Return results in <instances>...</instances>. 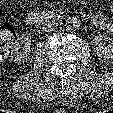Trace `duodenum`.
I'll list each match as a JSON object with an SVG mask.
<instances>
[{
  "label": "duodenum",
  "mask_w": 113,
  "mask_h": 113,
  "mask_svg": "<svg viewBox=\"0 0 113 113\" xmlns=\"http://www.w3.org/2000/svg\"><path fill=\"white\" fill-rule=\"evenodd\" d=\"M63 16V12L59 10H37L28 13L25 22L31 25L41 20L57 21L61 20Z\"/></svg>",
  "instance_id": "1"
}]
</instances>
